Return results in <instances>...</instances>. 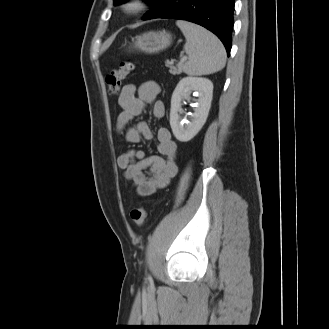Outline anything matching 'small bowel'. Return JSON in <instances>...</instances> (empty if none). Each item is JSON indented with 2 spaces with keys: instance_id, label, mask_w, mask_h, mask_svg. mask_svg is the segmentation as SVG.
<instances>
[{
  "instance_id": "1",
  "label": "small bowel",
  "mask_w": 329,
  "mask_h": 329,
  "mask_svg": "<svg viewBox=\"0 0 329 329\" xmlns=\"http://www.w3.org/2000/svg\"><path fill=\"white\" fill-rule=\"evenodd\" d=\"M160 91V86L154 81L139 85L127 84L122 88L118 98L122 112L117 117L115 129L117 134L125 133L128 143L137 144L143 139H152V131L146 122L141 121L134 126L130 123L141 116L148 105H151V114L155 119L165 116V105L158 99ZM156 137L159 156H146L141 149H129L117 159L125 178L133 183L141 196L151 195L165 187L177 173L178 147L171 132L168 128L159 126Z\"/></svg>"
}]
</instances>
